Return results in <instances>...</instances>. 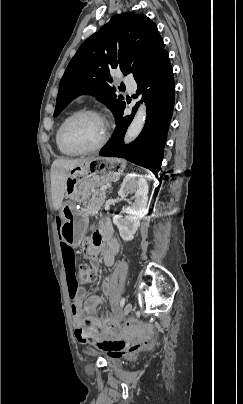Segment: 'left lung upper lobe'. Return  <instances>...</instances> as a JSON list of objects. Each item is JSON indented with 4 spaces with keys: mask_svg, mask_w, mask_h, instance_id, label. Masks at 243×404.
I'll list each match as a JSON object with an SVG mask.
<instances>
[{
    "mask_svg": "<svg viewBox=\"0 0 243 404\" xmlns=\"http://www.w3.org/2000/svg\"><path fill=\"white\" fill-rule=\"evenodd\" d=\"M166 52L155 23L148 17L134 12L113 15L71 59L60 81L54 116L77 96L93 94L112 110L117 121L125 102L110 86V71L118 68L137 80Z\"/></svg>",
    "mask_w": 243,
    "mask_h": 404,
    "instance_id": "1",
    "label": "left lung upper lobe"
}]
</instances>
